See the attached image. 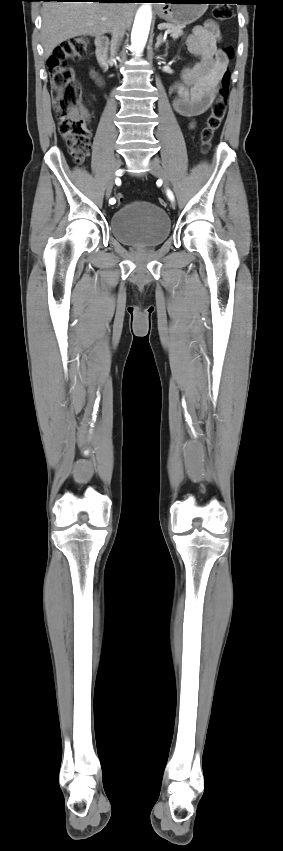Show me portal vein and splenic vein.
<instances>
[{"mask_svg":"<svg viewBox=\"0 0 283 851\" xmlns=\"http://www.w3.org/2000/svg\"><path fill=\"white\" fill-rule=\"evenodd\" d=\"M101 19H102V20H105L106 18H104V17H103V18H101ZM167 33H169V31H168V30L166 31V34H167Z\"/></svg>","mask_w":283,"mask_h":851,"instance_id":"18ae733b","label":"portal vein and splenic vein"}]
</instances>
